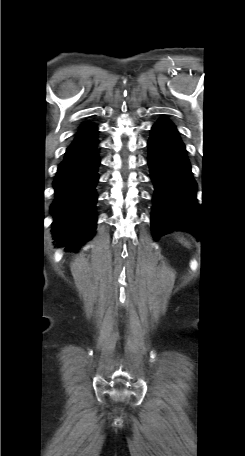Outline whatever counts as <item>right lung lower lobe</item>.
<instances>
[{"mask_svg": "<svg viewBox=\"0 0 245 456\" xmlns=\"http://www.w3.org/2000/svg\"><path fill=\"white\" fill-rule=\"evenodd\" d=\"M98 143L95 135L92 139L71 144L53 183V238L58 246H67L72 251H77L95 233Z\"/></svg>", "mask_w": 245, "mask_h": 456, "instance_id": "right-lung-lower-lobe-1", "label": "right lung lower lobe"}]
</instances>
